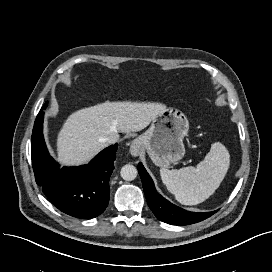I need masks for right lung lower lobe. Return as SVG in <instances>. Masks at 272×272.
<instances>
[{
  "mask_svg": "<svg viewBox=\"0 0 272 272\" xmlns=\"http://www.w3.org/2000/svg\"><path fill=\"white\" fill-rule=\"evenodd\" d=\"M43 118L41 109L31 138L36 183L60 211L81 219L100 215L109 202V179L118 144L104 149L86 165L61 168L48 153L43 137Z\"/></svg>",
  "mask_w": 272,
  "mask_h": 272,
  "instance_id": "98d812e1",
  "label": "right lung lower lobe"
}]
</instances>
